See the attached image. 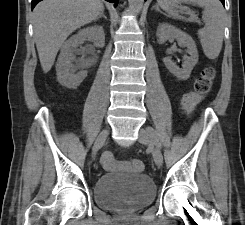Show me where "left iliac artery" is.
I'll return each mask as SVG.
<instances>
[{
  "label": "left iliac artery",
  "instance_id": "1",
  "mask_svg": "<svg viewBox=\"0 0 245 225\" xmlns=\"http://www.w3.org/2000/svg\"><path fill=\"white\" fill-rule=\"evenodd\" d=\"M146 130H147V132L151 135V137L154 139L155 145H156L158 148H160V147H161V143H160L159 140L155 137L153 128L147 127Z\"/></svg>",
  "mask_w": 245,
  "mask_h": 225
}]
</instances>
